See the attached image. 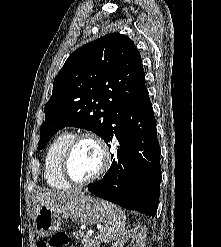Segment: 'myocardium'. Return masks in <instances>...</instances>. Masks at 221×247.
Returning a JSON list of instances; mask_svg holds the SVG:
<instances>
[{
	"instance_id": "obj_1",
	"label": "myocardium",
	"mask_w": 221,
	"mask_h": 247,
	"mask_svg": "<svg viewBox=\"0 0 221 247\" xmlns=\"http://www.w3.org/2000/svg\"><path fill=\"white\" fill-rule=\"evenodd\" d=\"M82 140H91L98 146L101 154V165L98 171L93 176L89 177L88 179L79 181L74 179L71 175L70 160L74 149L76 148L78 143L81 142ZM110 164H111V152L105 140L93 131H83L73 136L70 143L68 144L62 158L61 172L63 177L66 179V181L71 185L84 186L91 184L102 178L108 171Z\"/></svg>"
}]
</instances>
